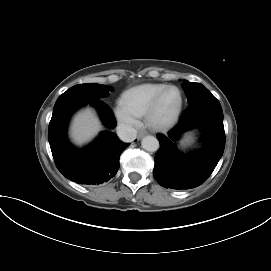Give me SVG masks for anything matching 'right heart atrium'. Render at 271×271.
Segmentation results:
<instances>
[{"instance_id":"d8ad5b80","label":"right heart atrium","mask_w":271,"mask_h":271,"mask_svg":"<svg viewBox=\"0 0 271 271\" xmlns=\"http://www.w3.org/2000/svg\"><path fill=\"white\" fill-rule=\"evenodd\" d=\"M115 115L118 122L127 129L135 128L138 124L137 118L125 110L121 104L116 106Z\"/></svg>"}]
</instances>
